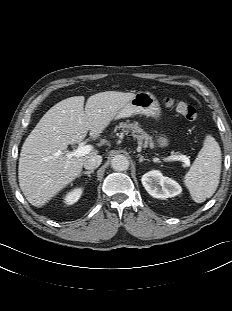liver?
<instances>
[{
	"label": "liver",
	"mask_w": 232,
	"mask_h": 311,
	"mask_svg": "<svg viewBox=\"0 0 232 311\" xmlns=\"http://www.w3.org/2000/svg\"><path fill=\"white\" fill-rule=\"evenodd\" d=\"M134 93L100 92L64 99L51 107L23 143L18 166L19 186L30 204L41 207L76 179L92 150L82 157L68 160L69 144L81 142L90 131L97 138ZM69 162V163H68Z\"/></svg>",
	"instance_id": "6515ba94"
}]
</instances>
